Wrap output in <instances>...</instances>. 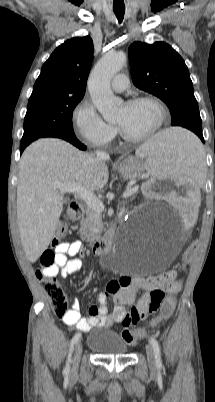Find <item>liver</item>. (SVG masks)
Wrapping results in <instances>:
<instances>
[{
	"label": "liver",
	"mask_w": 215,
	"mask_h": 402,
	"mask_svg": "<svg viewBox=\"0 0 215 402\" xmlns=\"http://www.w3.org/2000/svg\"><path fill=\"white\" fill-rule=\"evenodd\" d=\"M109 178L106 160L79 151L66 141L43 138L23 152L17 186V224L28 260L37 261L54 237L63 211L56 183H77L90 192Z\"/></svg>",
	"instance_id": "liver-1"
}]
</instances>
